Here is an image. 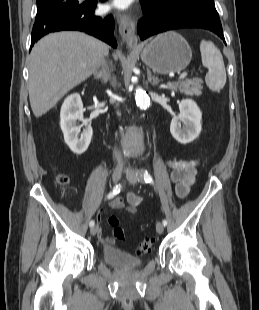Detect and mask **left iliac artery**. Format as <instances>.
<instances>
[{
	"label": "left iliac artery",
	"instance_id": "obj_1",
	"mask_svg": "<svg viewBox=\"0 0 259 310\" xmlns=\"http://www.w3.org/2000/svg\"><path fill=\"white\" fill-rule=\"evenodd\" d=\"M136 174L139 177V179H143L145 181V183L154 184L153 178L147 170L138 171ZM162 224L164 226L167 225V220L164 219L162 221Z\"/></svg>",
	"mask_w": 259,
	"mask_h": 310
}]
</instances>
